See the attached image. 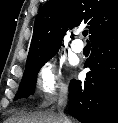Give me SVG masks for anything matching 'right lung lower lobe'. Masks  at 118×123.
Here are the masks:
<instances>
[{"mask_svg": "<svg viewBox=\"0 0 118 123\" xmlns=\"http://www.w3.org/2000/svg\"><path fill=\"white\" fill-rule=\"evenodd\" d=\"M86 80L69 85V113L83 123L118 122V30L92 42Z\"/></svg>", "mask_w": 118, "mask_h": 123, "instance_id": "98d812e1", "label": "right lung lower lobe"}]
</instances>
